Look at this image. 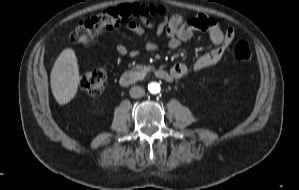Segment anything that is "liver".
<instances>
[{
	"instance_id": "obj_1",
	"label": "liver",
	"mask_w": 299,
	"mask_h": 190,
	"mask_svg": "<svg viewBox=\"0 0 299 190\" xmlns=\"http://www.w3.org/2000/svg\"><path fill=\"white\" fill-rule=\"evenodd\" d=\"M79 80L78 67L73 50H64L55 61L51 77V89L60 104L70 101L76 91Z\"/></svg>"
}]
</instances>
